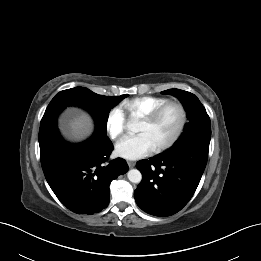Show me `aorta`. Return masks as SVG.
Segmentation results:
<instances>
[{"label":"aorta","instance_id":"762f6f07","mask_svg":"<svg viewBox=\"0 0 261 261\" xmlns=\"http://www.w3.org/2000/svg\"><path fill=\"white\" fill-rule=\"evenodd\" d=\"M129 128H131L132 130H135V127L132 124L129 126ZM127 177L129 179V181L132 183H140L142 180V174L137 169L129 170L127 173Z\"/></svg>","mask_w":261,"mask_h":261}]
</instances>
